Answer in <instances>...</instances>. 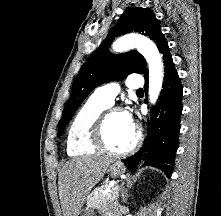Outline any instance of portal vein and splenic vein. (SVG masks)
<instances>
[{
    "mask_svg": "<svg viewBox=\"0 0 221 216\" xmlns=\"http://www.w3.org/2000/svg\"><path fill=\"white\" fill-rule=\"evenodd\" d=\"M114 188H118V186H115ZM110 191H104L103 194H107Z\"/></svg>",
    "mask_w": 221,
    "mask_h": 216,
    "instance_id": "portal-vein-and-splenic-vein-1",
    "label": "portal vein and splenic vein"
}]
</instances>
